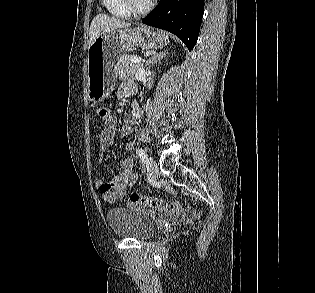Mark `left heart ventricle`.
I'll return each mask as SVG.
<instances>
[{
	"label": "left heart ventricle",
	"instance_id": "left-heart-ventricle-1",
	"mask_svg": "<svg viewBox=\"0 0 315 293\" xmlns=\"http://www.w3.org/2000/svg\"><path fill=\"white\" fill-rule=\"evenodd\" d=\"M136 5L139 7H143L149 3L150 0H134Z\"/></svg>",
	"mask_w": 315,
	"mask_h": 293
}]
</instances>
